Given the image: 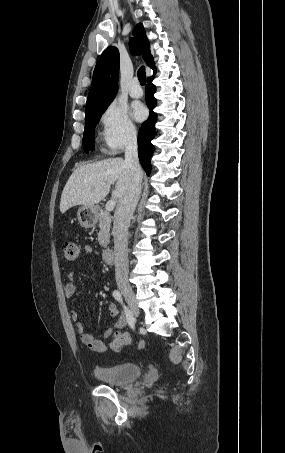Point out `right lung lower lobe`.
<instances>
[{
    "mask_svg": "<svg viewBox=\"0 0 285 453\" xmlns=\"http://www.w3.org/2000/svg\"><path fill=\"white\" fill-rule=\"evenodd\" d=\"M155 73L156 71L154 72V74ZM152 80L153 77L148 78L147 86L145 89V99L150 109V115L148 117V120L142 124L138 134L139 160L147 175H149L151 172L150 158L154 152V146L151 144V140L155 136V123L157 119L156 113L153 112V109L156 106V99L154 97L156 87L152 83Z\"/></svg>",
    "mask_w": 285,
    "mask_h": 453,
    "instance_id": "obj_1",
    "label": "right lung lower lobe"
}]
</instances>
